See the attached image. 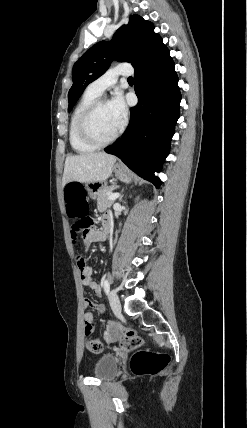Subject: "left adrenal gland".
<instances>
[{"instance_id":"a2214340","label":"left adrenal gland","mask_w":247,"mask_h":428,"mask_svg":"<svg viewBox=\"0 0 247 428\" xmlns=\"http://www.w3.org/2000/svg\"><path fill=\"white\" fill-rule=\"evenodd\" d=\"M122 197H123V196H121V197H120V200H122Z\"/></svg>"}]
</instances>
